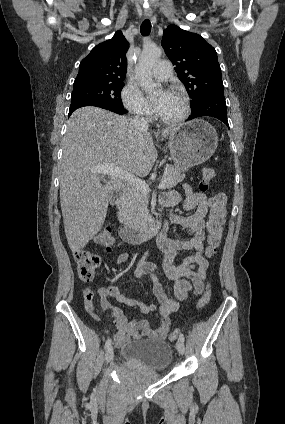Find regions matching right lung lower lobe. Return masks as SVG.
Returning a JSON list of instances; mask_svg holds the SVG:
<instances>
[{
	"instance_id": "right-lung-lower-lobe-1",
	"label": "right lung lower lobe",
	"mask_w": 285,
	"mask_h": 424,
	"mask_svg": "<svg viewBox=\"0 0 285 424\" xmlns=\"http://www.w3.org/2000/svg\"><path fill=\"white\" fill-rule=\"evenodd\" d=\"M84 106H96V107H100V108H103V109L110 110V111L115 112L117 114L127 113V111L124 108L115 107V106H112L110 104L102 103V102H99V101L81 99V100L71 101V105H70V109H69V116L76 109H78L80 107H84Z\"/></svg>"
}]
</instances>
